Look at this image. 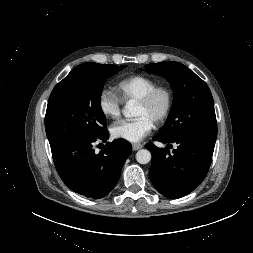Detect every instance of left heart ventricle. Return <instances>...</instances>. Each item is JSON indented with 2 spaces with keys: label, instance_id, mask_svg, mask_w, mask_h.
<instances>
[{
  "label": "left heart ventricle",
  "instance_id": "obj_1",
  "mask_svg": "<svg viewBox=\"0 0 253 253\" xmlns=\"http://www.w3.org/2000/svg\"><path fill=\"white\" fill-rule=\"evenodd\" d=\"M166 104V97L164 94H159L151 105H142L140 103L136 106V117L147 116L155 121L157 116L163 111Z\"/></svg>",
  "mask_w": 253,
  "mask_h": 253
}]
</instances>
